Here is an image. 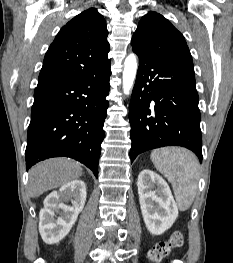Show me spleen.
I'll use <instances>...</instances> for the list:
<instances>
[{
	"label": "spleen",
	"instance_id": "3e777b00",
	"mask_svg": "<svg viewBox=\"0 0 233 263\" xmlns=\"http://www.w3.org/2000/svg\"><path fill=\"white\" fill-rule=\"evenodd\" d=\"M150 157L155 168L172 184L179 209H189L198 188L196 156L185 148L167 147L153 150Z\"/></svg>",
	"mask_w": 233,
	"mask_h": 263
}]
</instances>
